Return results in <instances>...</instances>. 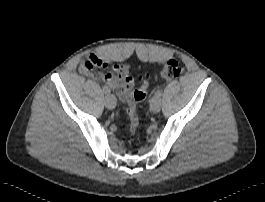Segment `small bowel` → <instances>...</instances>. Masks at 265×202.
<instances>
[{
	"label": "small bowel",
	"mask_w": 265,
	"mask_h": 202,
	"mask_svg": "<svg viewBox=\"0 0 265 202\" xmlns=\"http://www.w3.org/2000/svg\"><path fill=\"white\" fill-rule=\"evenodd\" d=\"M95 68L111 69L112 72L96 71ZM78 71L93 80L104 82L121 101L129 102L132 99L134 78L127 66L118 63L111 64L96 54H89L82 58Z\"/></svg>",
	"instance_id": "c3829d8e"
}]
</instances>
